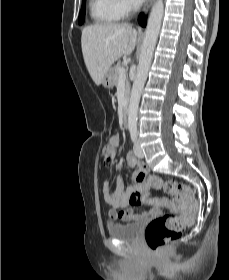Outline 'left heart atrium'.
Listing matches in <instances>:
<instances>
[{
	"instance_id": "39dd6f15",
	"label": "left heart atrium",
	"mask_w": 229,
	"mask_h": 280,
	"mask_svg": "<svg viewBox=\"0 0 229 280\" xmlns=\"http://www.w3.org/2000/svg\"><path fill=\"white\" fill-rule=\"evenodd\" d=\"M139 2H142V1H144V0H138Z\"/></svg>"
}]
</instances>
